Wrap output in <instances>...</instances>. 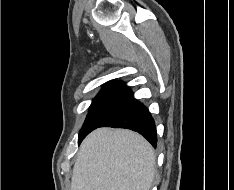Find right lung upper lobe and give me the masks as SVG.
Instances as JSON below:
<instances>
[{
	"instance_id": "obj_1",
	"label": "right lung upper lobe",
	"mask_w": 234,
	"mask_h": 190,
	"mask_svg": "<svg viewBox=\"0 0 234 190\" xmlns=\"http://www.w3.org/2000/svg\"><path fill=\"white\" fill-rule=\"evenodd\" d=\"M115 82H118V81H114V82H108V83H106V84L115 83Z\"/></svg>"
}]
</instances>
